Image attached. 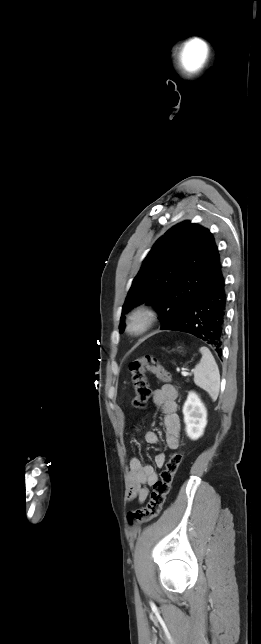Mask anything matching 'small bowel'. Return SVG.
Here are the masks:
<instances>
[{
	"instance_id": "c3829d8e",
	"label": "small bowel",
	"mask_w": 261,
	"mask_h": 644,
	"mask_svg": "<svg viewBox=\"0 0 261 644\" xmlns=\"http://www.w3.org/2000/svg\"><path fill=\"white\" fill-rule=\"evenodd\" d=\"M178 392L172 385H163L153 391L152 404L162 410L164 414V435L165 442L169 449H177L180 444V418L177 414ZM145 441L155 445L159 442L158 433L154 430L147 431ZM167 455L160 452L155 456L157 468L164 466ZM158 480V474L152 465L145 464L137 457H133L129 463L128 483L129 490L127 498L129 501L136 499L140 504L144 503L149 495V487Z\"/></svg>"
}]
</instances>
